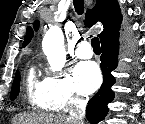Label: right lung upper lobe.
Instances as JSON below:
<instances>
[{"instance_id":"1","label":"right lung upper lobe","mask_w":145,"mask_h":124,"mask_svg":"<svg viewBox=\"0 0 145 124\" xmlns=\"http://www.w3.org/2000/svg\"><path fill=\"white\" fill-rule=\"evenodd\" d=\"M121 20L122 15L116 0H97L95 7L88 10L86 13L85 25L90 27L96 22H101L103 24V32L98 36L100 40H102L108 35L119 30ZM38 26L39 22L37 21L35 22L34 28L37 29ZM32 36L33 30L31 27H28L24 38L23 47L30 42Z\"/></svg>"}]
</instances>
